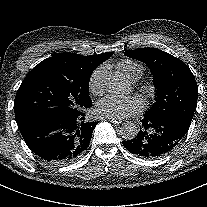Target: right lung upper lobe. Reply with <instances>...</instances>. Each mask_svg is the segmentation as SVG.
<instances>
[{
    "label": "right lung upper lobe",
    "mask_w": 207,
    "mask_h": 207,
    "mask_svg": "<svg viewBox=\"0 0 207 207\" xmlns=\"http://www.w3.org/2000/svg\"><path fill=\"white\" fill-rule=\"evenodd\" d=\"M113 54V52H106L99 55L83 56L74 53H60L43 60L32 71H58L77 78L90 79L93 70Z\"/></svg>",
    "instance_id": "cb5924a9"
}]
</instances>
